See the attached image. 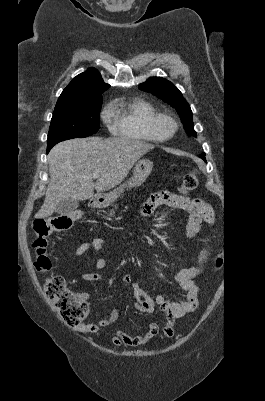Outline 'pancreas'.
Masks as SVG:
<instances>
[{"mask_svg":"<svg viewBox=\"0 0 265 401\" xmlns=\"http://www.w3.org/2000/svg\"><path fill=\"white\" fill-rule=\"evenodd\" d=\"M112 207H114V209H118L117 205H112ZM114 209H110V211H108V217H114L116 211H114Z\"/></svg>","mask_w":265,"mask_h":401,"instance_id":"1","label":"pancreas"}]
</instances>
